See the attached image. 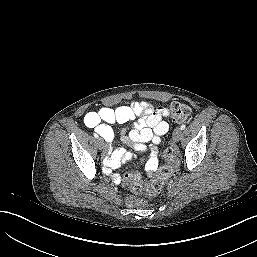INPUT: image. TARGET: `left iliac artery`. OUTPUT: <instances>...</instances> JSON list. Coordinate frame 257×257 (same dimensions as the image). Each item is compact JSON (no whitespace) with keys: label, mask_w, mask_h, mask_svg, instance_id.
<instances>
[{"label":"left iliac artery","mask_w":257,"mask_h":257,"mask_svg":"<svg viewBox=\"0 0 257 257\" xmlns=\"http://www.w3.org/2000/svg\"><path fill=\"white\" fill-rule=\"evenodd\" d=\"M180 128H181V130H184V129L186 128V125H185V124H182V125L180 126Z\"/></svg>","instance_id":"left-iliac-artery-1"}]
</instances>
